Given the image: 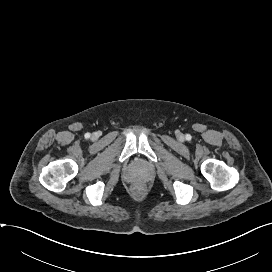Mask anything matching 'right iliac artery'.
I'll return each mask as SVG.
<instances>
[{"instance_id":"obj_1","label":"right iliac artery","mask_w":272,"mask_h":272,"mask_svg":"<svg viewBox=\"0 0 272 272\" xmlns=\"http://www.w3.org/2000/svg\"><path fill=\"white\" fill-rule=\"evenodd\" d=\"M89 137H90V133H86L85 138H89Z\"/></svg>"}]
</instances>
